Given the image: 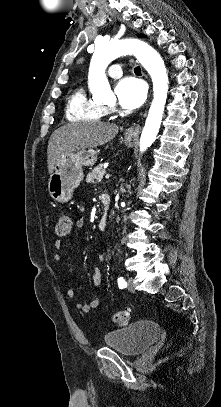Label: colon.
<instances>
[{"label": "colon", "mask_w": 221, "mask_h": 407, "mask_svg": "<svg viewBox=\"0 0 221 407\" xmlns=\"http://www.w3.org/2000/svg\"><path fill=\"white\" fill-rule=\"evenodd\" d=\"M72 226L71 218L66 214H62L56 222V234L58 236H66L71 232ZM113 322L119 327L126 326L129 322V312L127 310L117 312L113 316Z\"/></svg>", "instance_id": "obj_1"}]
</instances>
